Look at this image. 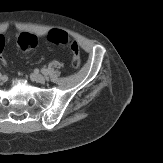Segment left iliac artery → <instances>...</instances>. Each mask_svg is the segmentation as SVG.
<instances>
[{
    "mask_svg": "<svg viewBox=\"0 0 163 163\" xmlns=\"http://www.w3.org/2000/svg\"><path fill=\"white\" fill-rule=\"evenodd\" d=\"M42 73H43L44 75H48V70H47V69H42Z\"/></svg>",
    "mask_w": 163,
    "mask_h": 163,
    "instance_id": "obj_1",
    "label": "left iliac artery"
}]
</instances>
